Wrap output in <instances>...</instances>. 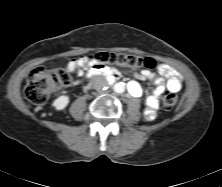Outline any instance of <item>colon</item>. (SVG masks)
I'll list each match as a JSON object with an SVG mask.
<instances>
[{
  "instance_id": "5ec220e1",
  "label": "colon",
  "mask_w": 222,
  "mask_h": 187,
  "mask_svg": "<svg viewBox=\"0 0 222 187\" xmlns=\"http://www.w3.org/2000/svg\"><path fill=\"white\" fill-rule=\"evenodd\" d=\"M92 64V70L102 69L106 65L116 64L129 69L153 68L155 61L151 58H142L136 55L123 53L100 52L87 58ZM71 83V73L66 68L48 69L43 66L36 67L27 78L24 94L26 99L33 104H43L49 96ZM178 97L175 93L163 96L162 104L166 109L173 108Z\"/></svg>"
}]
</instances>
